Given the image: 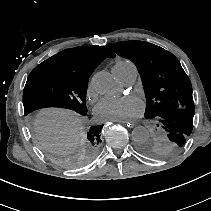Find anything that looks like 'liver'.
<instances>
[{
  "instance_id": "obj_1",
  "label": "liver",
  "mask_w": 211,
  "mask_h": 211,
  "mask_svg": "<svg viewBox=\"0 0 211 211\" xmlns=\"http://www.w3.org/2000/svg\"><path fill=\"white\" fill-rule=\"evenodd\" d=\"M74 112L62 109H46L38 114L35 131L39 141L50 148L58 147L67 152L74 148V136L78 129Z\"/></svg>"
}]
</instances>
